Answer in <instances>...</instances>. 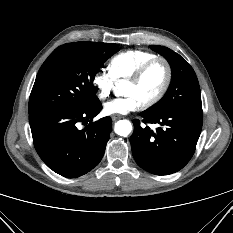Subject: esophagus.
<instances>
[{"label": "esophagus", "instance_id": "1", "mask_svg": "<svg viewBox=\"0 0 233 233\" xmlns=\"http://www.w3.org/2000/svg\"><path fill=\"white\" fill-rule=\"evenodd\" d=\"M111 118L113 121H116V120L120 119L121 116L120 115H112Z\"/></svg>", "mask_w": 233, "mask_h": 233}]
</instances>
